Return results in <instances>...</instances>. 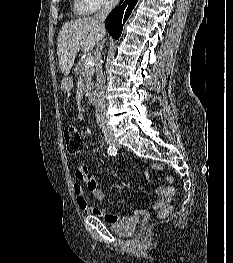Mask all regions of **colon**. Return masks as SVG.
I'll return each mask as SVG.
<instances>
[{"instance_id":"5ec220e1","label":"colon","mask_w":233,"mask_h":263,"mask_svg":"<svg viewBox=\"0 0 233 263\" xmlns=\"http://www.w3.org/2000/svg\"><path fill=\"white\" fill-rule=\"evenodd\" d=\"M64 140L67 152L70 155H76L83 148V141L79 130L75 126H67L64 129ZM171 211L169 205L164 206L158 213L159 218H165Z\"/></svg>"}]
</instances>
